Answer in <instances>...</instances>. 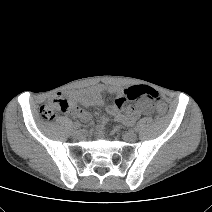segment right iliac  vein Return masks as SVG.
I'll return each instance as SVG.
<instances>
[{
	"mask_svg": "<svg viewBox=\"0 0 212 212\" xmlns=\"http://www.w3.org/2000/svg\"><path fill=\"white\" fill-rule=\"evenodd\" d=\"M72 135L75 136V137H78L80 135V131L79 130H74L72 132Z\"/></svg>",
	"mask_w": 212,
	"mask_h": 212,
	"instance_id": "63e3f726",
	"label": "right iliac vein"
}]
</instances>
